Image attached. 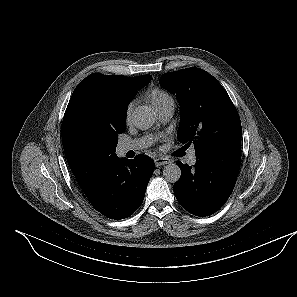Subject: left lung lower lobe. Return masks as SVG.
Returning a JSON list of instances; mask_svg holds the SVG:
<instances>
[{
  "instance_id": "obj_1",
  "label": "left lung lower lobe",
  "mask_w": 297,
  "mask_h": 297,
  "mask_svg": "<svg viewBox=\"0 0 297 297\" xmlns=\"http://www.w3.org/2000/svg\"><path fill=\"white\" fill-rule=\"evenodd\" d=\"M196 158L194 167L176 162L181 178L173 189L185 210L205 217L217 212L234 189L241 162V140L196 155Z\"/></svg>"
}]
</instances>
